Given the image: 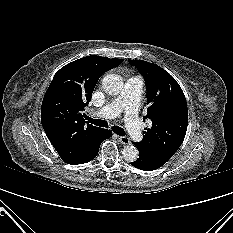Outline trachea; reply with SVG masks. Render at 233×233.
Listing matches in <instances>:
<instances>
[{
	"label": "trachea",
	"mask_w": 233,
	"mask_h": 233,
	"mask_svg": "<svg viewBox=\"0 0 233 233\" xmlns=\"http://www.w3.org/2000/svg\"><path fill=\"white\" fill-rule=\"evenodd\" d=\"M86 120H88L89 123H92L96 126H100V127H108V123L104 120L101 119H93L91 117L86 116L85 117ZM112 130L114 133H116L119 136H124L125 135V131L123 128L119 127V126H113Z\"/></svg>",
	"instance_id": "obj_1"
}]
</instances>
